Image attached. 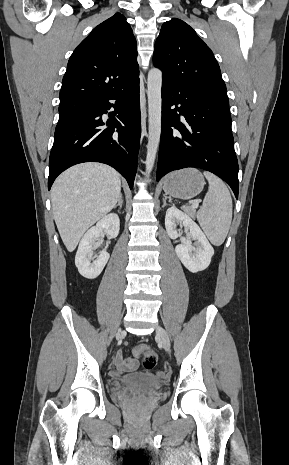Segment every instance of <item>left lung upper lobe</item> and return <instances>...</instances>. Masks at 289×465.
Wrapping results in <instances>:
<instances>
[{"label":"left lung upper lobe","instance_id":"1","mask_svg":"<svg viewBox=\"0 0 289 465\" xmlns=\"http://www.w3.org/2000/svg\"><path fill=\"white\" fill-rule=\"evenodd\" d=\"M153 63L162 70L163 82L228 100L226 85L211 49L180 19L173 18L162 25Z\"/></svg>","mask_w":289,"mask_h":465}]
</instances>
